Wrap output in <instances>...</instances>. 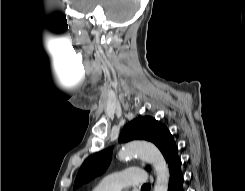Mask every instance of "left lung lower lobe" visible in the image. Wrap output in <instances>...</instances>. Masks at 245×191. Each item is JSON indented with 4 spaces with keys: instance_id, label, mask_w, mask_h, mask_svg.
<instances>
[{
    "instance_id": "left-lung-lower-lobe-1",
    "label": "left lung lower lobe",
    "mask_w": 245,
    "mask_h": 191,
    "mask_svg": "<svg viewBox=\"0 0 245 191\" xmlns=\"http://www.w3.org/2000/svg\"><path fill=\"white\" fill-rule=\"evenodd\" d=\"M169 169L168 191H184L183 190V173L181 170V159L178 156L176 148L167 161Z\"/></svg>"
}]
</instances>
